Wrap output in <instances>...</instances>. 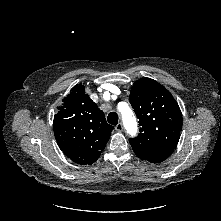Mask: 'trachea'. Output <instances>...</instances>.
Wrapping results in <instances>:
<instances>
[{"label": "trachea", "mask_w": 221, "mask_h": 221, "mask_svg": "<svg viewBox=\"0 0 221 221\" xmlns=\"http://www.w3.org/2000/svg\"><path fill=\"white\" fill-rule=\"evenodd\" d=\"M107 120H108V122H109L110 124H112V125H117L118 120H119L118 114L115 113V112H110V113L108 114Z\"/></svg>", "instance_id": "obj_1"}]
</instances>
